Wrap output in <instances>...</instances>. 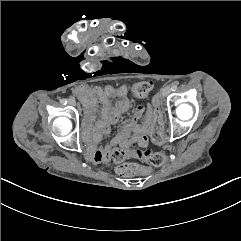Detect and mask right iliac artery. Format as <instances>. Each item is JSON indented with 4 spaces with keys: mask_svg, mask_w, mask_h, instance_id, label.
Returning a JSON list of instances; mask_svg holds the SVG:
<instances>
[{
    "mask_svg": "<svg viewBox=\"0 0 241 241\" xmlns=\"http://www.w3.org/2000/svg\"><path fill=\"white\" fill-rule=\"evenodd\" d=\"M60 102L64 105L67 103V101L65 99H61Z\"/></svg>",
    "mask_w": 241,
    "mask_h": 241,
    "instance_id": "1",
    "label": "right iliac artery"
}]
</instances>
